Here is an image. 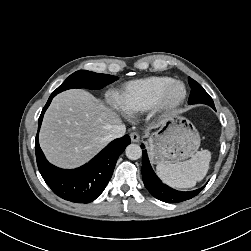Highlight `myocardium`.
I'll use <instances>...</instances> for the list:
<instances>
[{"label": "myocardium", "mask_w": 251, "mask_h": 251, "mask_svg": "<svg viewBox=\"0 0 251 251\" xmlns=\"http://www.w3.org/2000/svg\"><path fill=\"white\" fill-rule=\"evenodd\" d=\"M175 87H180L182 93L178 98L171 99L170 93ZM186 97L187 88L185 84L182 81L173 80L162 89L153 108L157 113L167 115L179 108L184 103Z\"/></svg>", "instance_id": "1"}]
</instances>
